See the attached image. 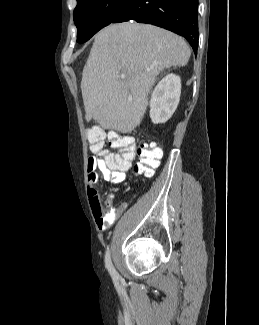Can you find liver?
<instances>
[{"label": "liver", "mask_w": 259, "mask_h": 325, "mask_svg": "<svg viewBox=\"0 0 259 325\" xmlns=\"http://www.w3.org/2000/svg\"><path fill=\"white\" fill-rule=\"evenodd\" d=\"M190 55L184 39L153 25L130 21L103 28L82 73L86 120L130 133L144 117L157 75L171 66H185Z\"/></svg>", "instance_id": "obj_1"}]
</instances>
